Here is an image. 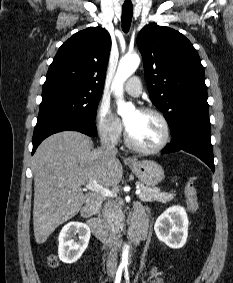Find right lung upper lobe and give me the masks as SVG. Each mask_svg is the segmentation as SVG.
Masks as SVG:
<instances>
[{
	"mask_svg": "<svg viewBox=\"0 0 233 283\" xmlns=\"http://www.w3.org/2000/svg\"><path fill=\"white\" fill-rule=\"evenodd\" d=\"M110 50L111 37L104 28L89 27L75 33L59 48L44 84L103 91Z\"/></svg>",
	"mask_w": 233,
	"mask_h": 283,
	"instance_id": "cb5924a9",
	"label": "right lung upper lobe"
}]
</instances>
